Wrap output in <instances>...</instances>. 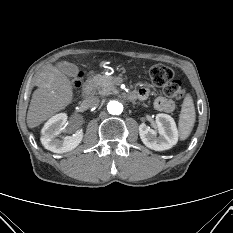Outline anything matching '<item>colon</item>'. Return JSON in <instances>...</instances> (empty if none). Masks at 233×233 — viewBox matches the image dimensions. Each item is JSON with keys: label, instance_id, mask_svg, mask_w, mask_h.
I'll list each match as a JSON object with an SVG mask.
<instances>
[{"label": "colon", "instance_id": "colon-1", "mask_svg": "<svg viewBox=\"0 0 233 233\" xmlns=\"http://www.w3.org/2000/svg\"><path fill=\"white\" fill-rule=\"evenodd\" d=\"M150 78L152 82L163 88V93L168 98L175 100H181L184 96V89L181 82L173 79V71L170 67L163 64H154L149 70ZM75 88L81 86V80H74Z\"/></svg>", "mask_w": 233, "mask_h": 233}]
</instances>
